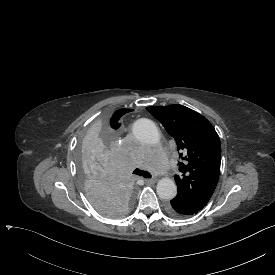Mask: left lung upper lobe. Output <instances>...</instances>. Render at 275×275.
Returning <instances> with one entry per match:
<instances>
[{"mask_svg":"<svg viewBox=\"0 0 275 275\" xmlns=\"http://www.w3.org/2000/svg\"><path fill=\"white\" fill-rule=\"evenodd\" d=\"M160 121L181 152L180 175L174 179L178 194L174 198L202 209L210 200L219 177L221 143L211 123L198 112L182 105L146 108Z\"/></svg>","mask_w":275,"mask_h":275,"instance_id":"1","label":"left lung upper lobe"}]
</instances>
